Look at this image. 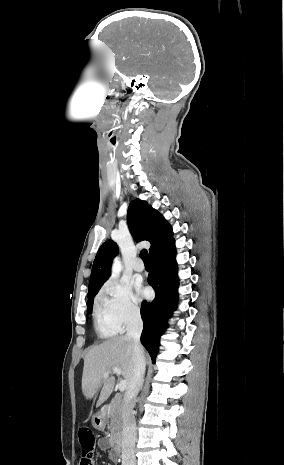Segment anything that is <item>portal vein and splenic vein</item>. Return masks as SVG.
Segmentation results:
<instances>
[{
	"label": "portal vein and splenic vein",
	"mask_w": 284,
	"mask_h": 465,
	"mask_svg": "<svg viewBox=\"0 0 284 465\" xmlns=\"http://www.w3.org/2000/svg\"><path fill=\"white\" fill-rule=\"evenodd\" d=\"M112 373H116V375H118V377H120V375H122V371L121 369H119V367H113V369H111ZM110 371H108V373H103V377H108ZM127 387V383L126 381H120L119 383V391H125Z\"/></svg>",
	"instance_id": "1"
}]
</instances>
